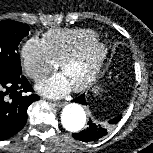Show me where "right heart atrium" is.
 <instances>
[{"label": "right heart atrium", "mask_w": 153, "mask_h": 153, "mask_svg": "<svg viewBox=\"0 0 153 153\" xmlns=\"http://www.w3.org/2000/svg\"><path fill=\"white\" fill-rule=\"evenodd\" d=\"M21 59L26 74L34 81L44 79L58 66L44 40L39 37H31L23 44Z\"/></svg>", "instance_id": "obj_1"}]
</instances>
